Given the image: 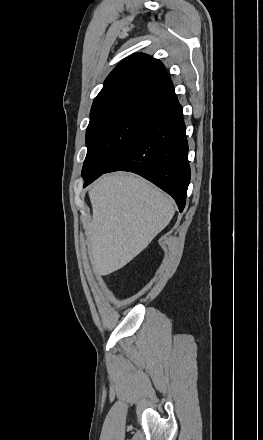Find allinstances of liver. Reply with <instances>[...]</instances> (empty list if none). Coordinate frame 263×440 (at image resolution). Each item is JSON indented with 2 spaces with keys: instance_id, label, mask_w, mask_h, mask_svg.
I'll return each instance as SVG.
<instances>
[{
  "instance_id": "liver-1",
  "label": "liver",
  "mask_w": 263,
  "mask_h": 440,
  "mask_svg": "<svg viewBox=\"0 0 263 440\" xmlns=\"http://www.w3.org/2000/svg\"><path fill=\"white\" fill-rule=\"evenodd\" d=\"M93 216L86 233L93 271H117L143 251L171 221L173 202L158 188L131 174L98 179L89 190Z\"/></svg>"
}]
</instances>
